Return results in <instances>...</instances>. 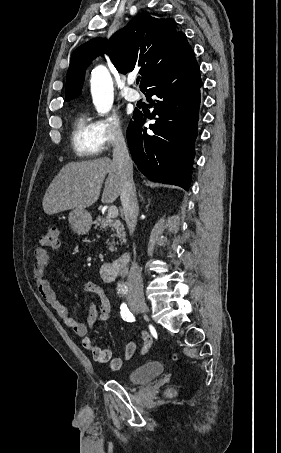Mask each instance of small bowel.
<instances>
[{
  "label": "small bowel",
  "instance_id": "1",
  "mask_svg": "<svg viewBox=\"0 0 281 453\" xmlns=\"http://www.w3.org/2000/svg\"><path fill=\"white\" fill-rule=\"evenodd\" d=\"M33 278L36 284L38 293L42 296L45 302L54 310L56 315L75 333L82 338L83 348L89 352L98 362L108 363L112 370H119L122 366V359L114 357L109 348L98 346L92 338L88 336L89 329L98 328L103 321L109 318L111 314V302L104 295L102 288L95 282H86L82 290L97 295L98 301L93 303L90 308V315L88 324L80 322L78 319L72 317L68 309L61 304L56 294L52 291L48 279L46 277V270L51 262L50 254L42 247L34 248L33 252ZM141 337L143 339V346L141 351L145 352L151 346V339L147 332L142 331ZM137 348L136 341L130 342L124 352V360L129 361L135 354ZM146 353V352H145Z\"/></svg>",
  "mask_w": 281,
  "mask_h": 453
}]
</instances>
